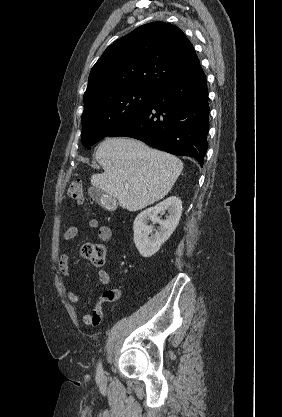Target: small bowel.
I'll return each mask as SVG.
<instances>
[{
  "instance_id": "c3829d8e",
  "label": "small bowel",
  "mask_w": 282,
  "mask_h": 417,
  "mask_svg": "<svg viewBox=\"0 0 282 417\" xmlns=\"http://www.w3.org/2000/svg\"><path fill=\"white\" fill-rule=\"evenodd\" d=\"M87 226L90 229H98V236L101 240L103 241H109L112 238V231L111 228L108 226H99V223L96 219H91L88 221ZM78 227L73 225L70 226L64 233V240L65 241H70L73 238L76 237V235L78 234ZM58 268L59 271L61 272V274L67 278H69L71 276V270L69 267V256L66 252L62 253L59 256L58 259ZM98 280L100 281L101 284L103 285H108L110 282V277L109 274L104 270V269H100L98 271ZM66 295L68 297V299L73 302L76 303L79 301V295L74 292L73 290H67ZM122 295V291L119 288H111V289H107L103 292V294L101 295L95 309L91 312L85 315L84 317V322L86 325L91 326V327H97L99 325V321L96 320L95 317V313L94 311L96 309H100L101 310V318H102V306L104 303H108V302H115L118 301L120 299Z\"/></svg>"
}]
</instances>
